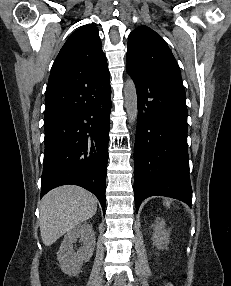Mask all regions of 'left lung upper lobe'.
Segmentation results:
<instances>
[{
    "label": "left lung upper lobe",
    "instance_id": "left-lung-upper-lobe-1",
    "mask_svg": "<svg viewBox=\"0 0 231 286\" xmlns=\"http://www.w3.org/2000/svg\"><path fill=\"white\" fill-rule=\"evenodd\" d=\"M127 67L158 81L183 86L180 69L165 41L141 26L128 37Z\"/></svg>",
    "mask_w": 231,
    "mask_h": 286
}]
</instances>
